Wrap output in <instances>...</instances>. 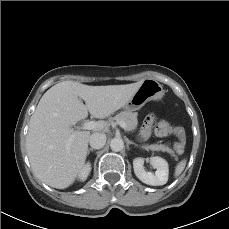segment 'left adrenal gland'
I'll return each instance as SVG.
<instances>
[{"instance_id": "a2214340", "label": "left adrenal gland", "mask_w": 229, "mask_h": 229, "mask_svg": "<svg viewBox=\"0 0 229 229\" xmlns=\"http://www.w3.org/2000/svg\"><path fill=\"white\" fill-rule=\"evenodd\" d=\"M127 143H128V144H133V145L137 146V144H135L134 142L129 141V140H127Z\"/></svg>"}]
</instances>
